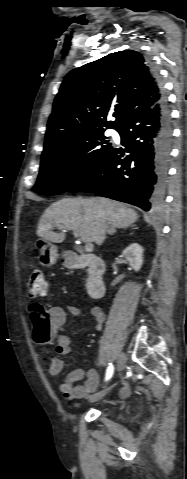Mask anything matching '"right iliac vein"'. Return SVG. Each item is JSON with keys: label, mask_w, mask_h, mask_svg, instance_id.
Segmentation results:
<instances>
[{"label": "right iliac vein", "mask_w": 187, "mask_h": 479, "mask_svg": "<svg viewBox=\"0 0 187 479\" xmlns=\"http://www.w3.org/2000/svg\"><path fill=\"white\" fill-rule=\"evenodd\" d=\"M125 363H126V357H125V355H124L123 353H121V354L118 356V360H117V369H118V371H121V370L123 369ZM110 389H111V387H108V388H106V389H104V390H102V391H100V392L94 394V395L90 398V400H91V401H97V400L101 399L102 397H104V396L110 391Z\"/></svg>", "instance_id": "right-iliac-vein-1"}]
</instances>
